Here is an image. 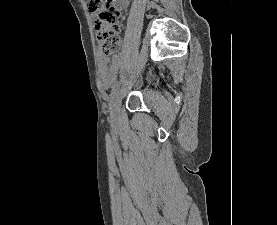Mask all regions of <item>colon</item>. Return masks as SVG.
<instances>
[{
	"instance_id": "1",
	"label": "colon",
	"mask_w": 277,
	"mask_h": 225,
	"mask_svg": "<svg viewBox=\"0 0 277 225\" xmlns=\"http://www.w3.org/2000/svg\"><path fill=\"white\" fill-rule=\"evenodd\" d=\"M114 2L117 0H86L87 7L99 13L95 24V33L102 51L106 55L114 54L121 48L119 12Z\"/></svg>"
}]
</instances>
